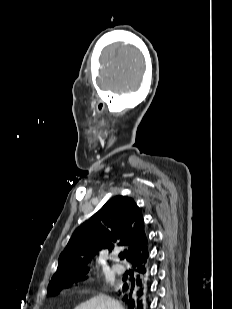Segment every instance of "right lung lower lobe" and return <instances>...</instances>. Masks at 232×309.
Masks as SVG:
<instances>
[{
  "mask_svg": "<svg viewBox=\"0 0 232 309\" xmlns=\"http://www.w3.org/2000/svg\"><path fill=\"white\" fill-rule=\"evenodd\" d=\"M146 256L140 258L133 263L135 270V277L131 280L124 279L125 283L122 289L118 291V295L128 305L129 309H146V272H147V259Z\"/></svg>",
  "mask_w": 232,
  "mask_h": 309,
  "instance_id": "1",
  "label": "right lung lower lobe"
}]
</instances>
